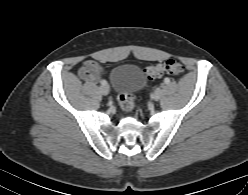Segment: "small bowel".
Returning a JSON list of instances; mask_svg holds the SVG:
<instances>
[{
  "label": "small bowel",
  "instance_id": "small-bowel-1",
  "mask_svg": "<svg viewBox=\"0 0 248 195\" xmlns=\"http://www.w3.org/2000/svg\"><path fill=\"white\" fill-rule=\"evenodd\" d=\"M79 75L87 83L93 84L101 80L106 75V71L98 62L87 60L81 67Z\"/></svg>",
  "mask_w": 248,
  "mask_h": 195
}]
</instances>
